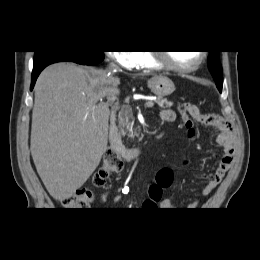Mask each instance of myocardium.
Masks as SVG:
<instances>
[{
  "instance_id": "f54148a6",
  "label": "myocardium",
  "mask_w": 260,
  "mask_h": 260,
  "mask_svg": "<svg viewBox=\"0 0 260 260\" xmlns=\"http://www.w3.org/2000/svg\"><path fill=\"white\" fill-rule=\"evenodd\" d=\"M149 55L161 67L181 73H187L196 70L200 67V65L205 61L206 58V53L204 51H199V59L197 60V62L188 66H180L171 62L168 57V53L164 51L153 50L149 52Z\"/></svg>"
}]
</instances>
